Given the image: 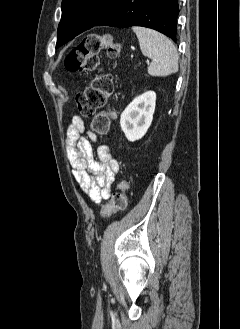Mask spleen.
Listing matches in <instances>:
<instances>
[{"label":"spleen","instance_id":"spleen-1","mask_svg":"<svg viewBox=\"0 0 240 329\" xmlns=\"http://www.w3.org/2000/svg\"><path fill=\"white\" fill-rule=\"evenodd\" d=\"M141 52L152 62L148 74L155 77H166L178 71V52L175 45L165 35L144 27H133Z\"/></svg>","mask_w":240,"mask_h":329}]
</instances>
